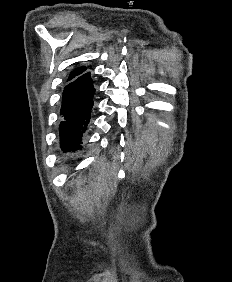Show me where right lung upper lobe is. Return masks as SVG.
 Wrapping results in <instances>:
<instances>
[{
	"mask_svg": "<svg viewBox=\"0 0 232 282\" xmlns=\"http://www.w3.org/2000/svg\"><path fill=\"white\" fill-rule=\"evenodd\" d=\"M85 70H86V67H79V68H76L75 70H73V71L70 73V75H69V77H68V80H71V79H73V78H75V77H77V76L83 74V73L85 72Z\"/></svg>",
	"mask_w": 232,
	"mask_h": 282,
	"instance_id": "cb5924a9",
	"label": "right lung upper lobe"
}]
</instances>
